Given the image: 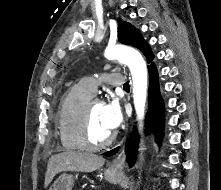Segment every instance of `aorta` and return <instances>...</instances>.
Returning <instances> with one entry per match:
<instances>
[{
	"instance_id": "762f6f07",
	"label": "aorta",
	"mask_w": 221,
	"mask_h": 190,
	"mask_svg": "<svg viewBox=\"0 0 221 190\" xmlns=\"http://www.w3.org/2000/svg\"><path fill=\"white\" fill-rule=\"evenodd\" d=\"M104 55L107 59H115L126 64L131 71L134 106L141 130L147 97L146 63L138 51L125 45L109 46L106 48Z\"/></svg>"
}]
</instances>
